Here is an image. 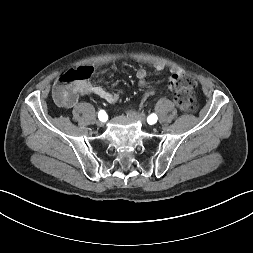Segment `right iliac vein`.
<instances>
[{
    "label": "right iliac vein",
    "mask_w": 253,
    "mask_h": 253,
    "mask_svg": "<svg viewBox=\"0 0 253 253\" xmlns=\"http://www.w3.org/2000/svg\"><path fill=\"white\" fill-rule=\"evenodd\" d=\"M96 124H97L98 127L104 126V122L101 121V120H98V121L96 122Z\"/></svg>",
    "instance_id": "right-iliac-vein-1"
}]
</instances>
